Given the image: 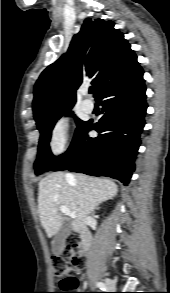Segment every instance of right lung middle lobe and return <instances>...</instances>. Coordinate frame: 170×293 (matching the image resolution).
Masks as SVG:
<instances>
[{"label": "right lung middle lobe", "mask_w": 170, "mask_h": 293, "mask_svg": "<svg viewBox=\"0 0 170 293\" xmlns=\"http://www.w3.org/2000/svg\"><path fill=\"white\" fill-rule=\"evenodd\" d=\"M64 114L67 116H72V112L70 110L65 111L64 113L59 115L56 119H54L52 122L39 128L41 136H40L39 146H38V158H37V161L35 162L36 175H39L44 171L51 170L52 167L62 157V155L61 156H53L52 155V153L50 151V147H49V142H50V138H51V131L54 127V124ZM76 123H77L78 127L76 130L75 136L78 133V131L80 130V128L82 127V125L84 124V122L76 118Z\"/></svg>", "instance_id": "right-lung-middle-lobe-1"}]
</instances>
